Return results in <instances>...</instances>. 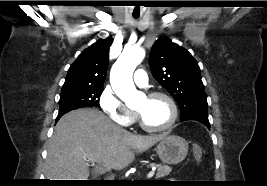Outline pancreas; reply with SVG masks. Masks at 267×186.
<instances>
[{
    "label": "pancreas",
    "instance_id": "cf45deb5",
    "mask_svg": "<svg viewBox=\"0 0 267 186\" xmlns=\"http://www.w3.org/2000/svg\"><path fill=\"white\" fill-rule=\"evenodd\" d=\"M151 166H155L157 168L156 178H162L164 176H167L172 170V168L167 165L152 163Z\"/></svg>",
    "mask_w": 267,
    "mask_h": 186
}]
</instances>
